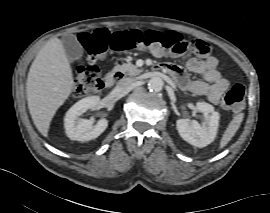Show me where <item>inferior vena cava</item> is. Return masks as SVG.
Instances as JSON below:
<instances>
[{
    "instance_id": "inferior-vena-cava-1",
    "label": "inferior vena cava",
    "mask_w": 270,
    "mask_h": 213,
    "mask_svg": "<svg viewBox=\"0 0 270 213\" xmlns=\"http://www.w3.org/2000/svg\"><path fill=\"white\" fill-rule=\"evenodd\" d=\"M136 82V79L134 78H123L121 80L118 81L117 83V89L119 90H125L128 87H130L131 85H133Z\"/></svg>"
}]
</instances>
